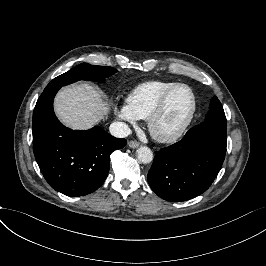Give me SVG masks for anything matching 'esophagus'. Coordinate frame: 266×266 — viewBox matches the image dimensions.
<instances>
[{
  "instance_id": "esophagus-1",
  "label": "esophagus",
  "mask_w": 266,
  "mask_h": 266,
  "mask_svg": "<svg viewBox=\"0 0 266 266\" xmlns=\"http://www.w3.org/2000/svg\"><path fill=\"white\" fill-rule=\"evenodd\" d=\"M139 146H140V143L137 141H130L129 142V147H131V148H137Z\"/></svg>"
}]
</instances>
